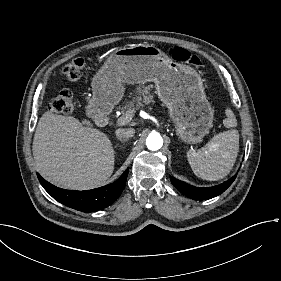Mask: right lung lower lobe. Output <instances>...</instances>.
I'll return each instance as SVG.
<instances>
[{
	"label": "right lung lower lobe",
	"mask_w": 281,
	"mask_h": 281,
	"mask_svg": "<svg viewBox=\"0 0 281 281\" xmlns=\"http://www.w3.org/2000/svg\"><path fill=\"white\" fill-rule=\"evenodd\" d=\"M37 175L43 188L58 202L82 212H93L108 207L120 196L126 184L128 169L114 183L86 191L61 189Z\"/></svg>",
	"instance_id": "98d812e1"
}]
</instances>
